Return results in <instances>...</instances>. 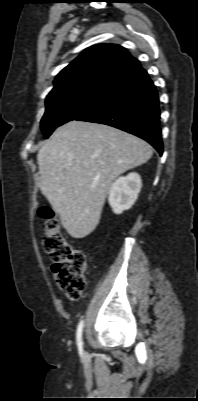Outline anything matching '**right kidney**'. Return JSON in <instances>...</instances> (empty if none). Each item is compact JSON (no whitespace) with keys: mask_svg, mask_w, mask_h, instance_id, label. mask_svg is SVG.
<instances>
[{"mask_svg":"<svg viewBox=\"0 0 198 401\" xmlns=\"http://www.w3.org/2000/svg\"><path fill=\"white\" fill-rule=\"evenodd\" d=\"M141 187V177L134 172L116 179L110 188L108 197L113 212L121 214L130 209L137 200Z\"/></svg>","mask_w":198,"mask_h":401,"instance_id":"right-kidney-1","label":"right kidney"}]
</instances>
